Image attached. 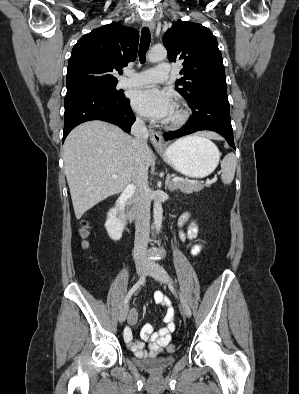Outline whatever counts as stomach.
Here are the masks:
<instances>
[{
    "mask_svg": "<svg viewBox=\"0 0 299 394\" xmlns=\"http://www.w3.org/2000/svg\"><path fill=\"white\" fill-rule=\"evenodd\" d=\"M158 152L176 171L192 178L211 174L220 159L216 145L198 136L179 139Z\"/></svg>",
    "mask_w": 299,
    "mask_h": 394,
    "instance_id": "obj_1",
    "label": "stomach"
}]
</instances>
